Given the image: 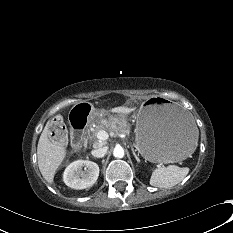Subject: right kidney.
<instances>
[{"label": "right kidney", "mask_w": 233, "mask_h": 233, "mask_svg": "<svg viewBox=\"0 0 233 233\" xmlns=\"http://www.w3.org/2000/svg\"><path fill=\"white\" fill-rule=\"evenodd\" d=\"M85 167L83 171L82 168ZM99 176L97 163L88 160L72 162L64 171V183L73 189H85L92 186Z\"/></svg>", "instance_id": "obj_1"}]
</instances>
